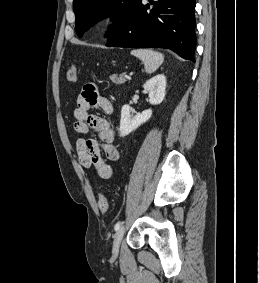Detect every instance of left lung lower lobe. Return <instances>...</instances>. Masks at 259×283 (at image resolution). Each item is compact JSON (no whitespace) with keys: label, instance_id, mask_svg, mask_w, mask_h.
<instances>
[{"label":"left lung lower lobe","instance_id":"1","mask_svg":"<svg viewBox=\"0 0 259 283\" xmlns=\"http://www.w3.org/2000/svg\"><path fill=\"white\" fill-rule=\"evenodd\" d=\"M136 0L108 47L168 48L194 61L195 0Z\"/></svg>","mask_w":259,"mask_h":283}]
</instances>
